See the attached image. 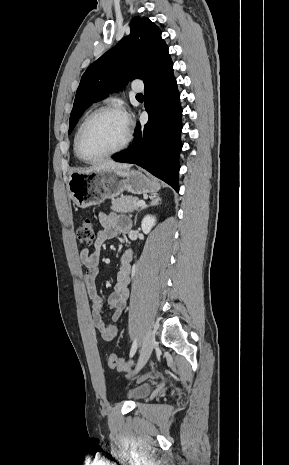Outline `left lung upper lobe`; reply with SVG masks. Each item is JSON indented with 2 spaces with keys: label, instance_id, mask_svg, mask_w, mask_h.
<instances>
[{
  "label": "left lung upper lobe",
  "instance_id": "5c2ea615",
  "mask_svg": "<svg viewBox=\"0 0 289 465\" xmlns=\"http://www.w3.org/2000/svg\"><path fill=\"white\" fill-rule=\"evenodd\" d=\"M130 34L92 63L83 74L70 115L69 133L84 110L123 87L128 80L143 79L148 85L173 71L161 31L147 17H134Z\"/></svg>",
  "mask_w": 289,
  "mask_h": 465
}]
</instances>
